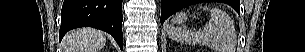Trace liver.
Returning a JSON list of instances; mask_svg holds the SVG:
<instances>
[{"label":"liver","mask_w":305,"mask_h":52,"mask_svg":"<svg viewBox=\"0 0 305 52\" xmlns=\"http://www.w3.org/2000/svg\"><path fill=\"white\" fill-rule=\"evenodd\" d=\"M106 43L102 31L92 28H81L71 31L64 39V52H99Z\"/></svg>","instance_id":"obj_1"}]
</instances>
